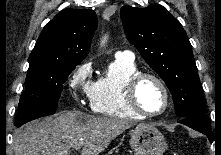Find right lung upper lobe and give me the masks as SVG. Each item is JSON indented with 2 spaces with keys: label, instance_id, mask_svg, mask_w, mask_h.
<instances>
[{
  "label": "right lung upper lobe",
  "instance_id": "right-lung-upper-lobe-1",
  "mask_svg": "<svg viewBox=\"0 0 221 155\" xmlns=\"http://www.w3.org/2000/svg\"><path fill=\"white\" fill-rule=\"evenodd\" d=\"M97 24L93 10H62L46 24L28 61L79 64L89 52Z\"/></svg>",
  "mask_w": 221,
  "mask_h": 155
}]
</instances>
